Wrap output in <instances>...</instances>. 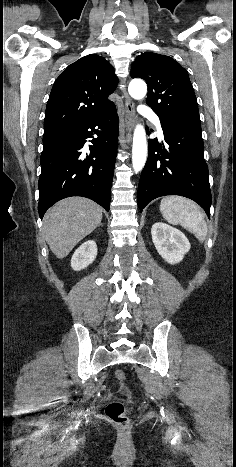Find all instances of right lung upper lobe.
<instances>
[{
    "mask_svg": "<svg viewBox=\"0 0 236 467\" xmlns=\"http://www.w3.org/2000/svg\"><path fill=\"white\" fill-rule=\"evenodd\" d=\"M117 84L113 66L101 56L87 55L69 65L53 84L44 135L84 124L114 107L108 96Z\"/></svg>",
    "mask_w": 236,
    "mask_h": 467,
    "instance_id": "cb5924a9",
    "label": "right lung upper lobe"
}]
</instances>
